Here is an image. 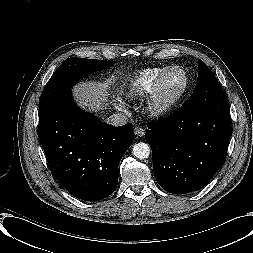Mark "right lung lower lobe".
Returning <instances> with one entry per match:
<instances>
[{"label":"right lung lower lobe","instance_id":"1","mask_svg":"<svg viewBox=\"0 0 253 253\" xmlns=\"http://www.w3.org/2000/svg\"><path fill=\"white\" fill-rule=\"evenodd\" d=\"M38 136L58 182L79 199L97 201L116 189L134 133L131 123L114 127L82 112L68 92L39 116Z\"/></svg>","mask_w":253,"mask_h":253}]
</instances>
